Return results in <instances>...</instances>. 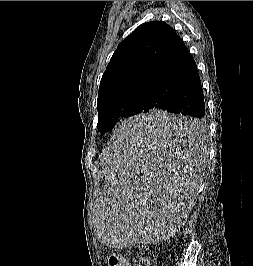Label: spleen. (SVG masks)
I'll use <instances>...</instances> for the list:
<instances>
[{
    "instance_id": "3e777b00",
    "label": "spleen",
    "mask_w": 253,
    "mask_h": 266,
    "mask_svg": "<svg viewBox=\"0 0 253 266\" xmlns=\"http://www.w3.org/2000/svg\"><path fill=\"white\" fill-rule=\"evenodd\" d=\"M180 111H145L120 123L104 168L108 207L95 208L103 248H162L184 229L202 174V124Z\"/></svg>"
}]
</instances>
